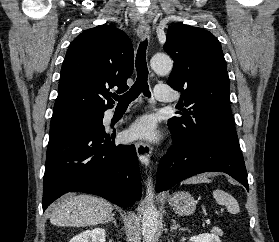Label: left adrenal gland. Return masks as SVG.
<instances>
[{"label":"left adrenal gland","mask_w":279,"mask_h":242,"mask_svg":"<svg viewBox=\"0 0 279 242\" xmlns=\"http://www.w3.org/2000/svg\"><path fill=\"white\" fill-rule=\"evenodd\" d=\"M171 221H172L173 225H172L170 231H173L175 229L184 230V231L187 230L186 228H182L179 224H177L175 219H172Z\"/></svg>","instance_id":"obj_1"}]
</instances>
